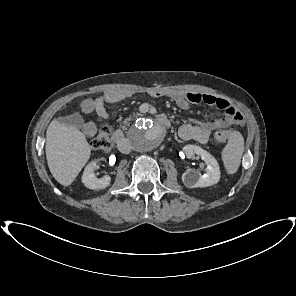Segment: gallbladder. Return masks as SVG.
Wrapping results in <instances>:
<instances>
[{
    "label": "gallbladder",
    "instance_id": "obj_1",
    "mask_svg": "<svg viewBox=\"0 0 296 296\" xmlns=\"http://www.w3.org/2000/svg\"><path fill=\"white\" fill-rule=\"evenodd\" d=\"M58 121L66 126H72V127H80L83 125V118L79 113H75L73 115L59 117Z\"/></svg>",
    "mask_w": 296,
    "mask_h": 296
}]
</instances>
